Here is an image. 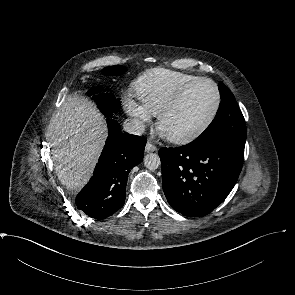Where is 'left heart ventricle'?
<instances>
[{
	"instance_id": "left-heart-ventricle-1",
	"label": "left heart ventricle",
	"mask_w": 295,
	"mask_h": 295,
	"mask_svg": "<svg viewBox=\"0 0 295 295\" xmlns=\"http://www.w3.org/2000/svg\"><path fill=\"white\" fill-rule=\"evenodd\" d=\"M216 100V92L211 84H197L187 93L180 105L164 119L162 132L171 138L184 137L195 132L211 116Z\"/></svg>"
}]
</instances>
